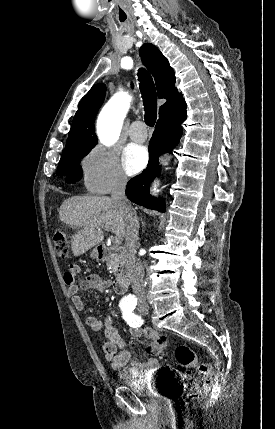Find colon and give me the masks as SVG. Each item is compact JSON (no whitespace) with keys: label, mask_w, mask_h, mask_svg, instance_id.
Wrapping results in <instances>:
<instances>
[{"label":"colon","mask_w":275,"mask_h":429,"mask_svg":"<svg viewBox=\"0 0 275 429\" xmlns=\"http://www.w3.org/2000/svg\"><path fill=\"white\" fill-rule=\"evenodd\" d=\"M54 249L58 256L67 258L69 256V245L66 237L60 231L54 234ZM166 349V339L163 337L157 343L156 352L163 354ZM175 359L184 373L178 374L172 369L169 371L176 377L182 379L181 387L183 393L181 402L190 405L198 402L208 392L212 383V369L202 362L197 354L186 345H179L175 349ZM202 376V381L200 379Z\"/></svg>","instance_id":"5ec220e1"}]
</instances>
